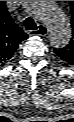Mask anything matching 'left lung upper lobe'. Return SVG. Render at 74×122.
<instances>
[{
    "instance_id": "1",
    "label": "left lung upper lobe",
    "mask_w": 74,
    "mask_h": 122,
    "mask_svg": "<svg viewBox=\"0 0 74 122\" xmlns=\"http://www.w3.org/2000/svg\"><path fill=\"white\" fill-rule=\"evenodd\" d=\"M70 9L72 13V38L67 46L61 49H54V52L66 63L74 65V1H70Z\"/></svg>"
}]
</instances>
